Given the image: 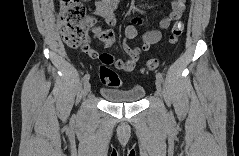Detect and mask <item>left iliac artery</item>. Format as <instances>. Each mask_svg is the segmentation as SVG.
Returning <instances> with one entry per match:
<instances>
[{
    "instance_id": "left-iliac-artery-1",
    "label": "left iliac artery",
    "mask_w": 239,
    "mask_h": 156,
    "mask_svg": "<svg viewBox=\"0 0 239 156\" xmlns=\"http://www.w3.org/2000/svg\"><path fill=\"white\" fill-rule=\"evenodd\" d=\"M156 79L159 80L160 82H162L163 81V75L160 72L156 73Z\"/></svg>"
}]
</instances>
